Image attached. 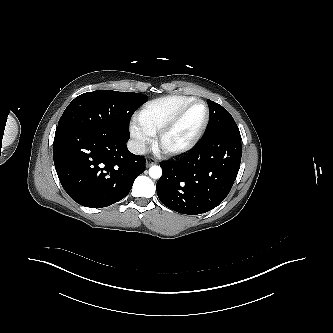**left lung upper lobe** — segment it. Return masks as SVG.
Here are the masks:
<instances>
[{
  "label": "left lung upper lobe",
  "mask_w": 333,
  "mask_h": 333,
  "mask_svg": "<svg viewBox=\"0 0 333 333\" xmlns=\"http://www.w3.org/2000/svg\"><path fill=\"white\" fill-rule=\"evenodd\" d=\"M209 106V122L204 136H210L222 132L240 133L231 114L221 105L207 100Z\"/></svg>",
  "instance_id": "left-lung-upper-lobe-1"
}]
</instances>
